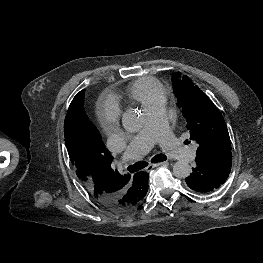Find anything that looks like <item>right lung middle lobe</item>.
Here are the masks:
<instances>
[{
  "label": "right lung middle lobe",
  "instance_id": "1",
  "mask_svg": "<svg viewBox=\"0 0 263 263\" xmlns=\"http://www.w3.org/2000/svg\"><path fill=\"white\" fill-rule=\"evenodd\" d=\"M83 103H84V90L80 92V99L76 104V108L74 110L73 118H72V122H74L79 126L89 124V120L83 108Z\"/></svg>",
  "mask_w": 263,
  "mask_h": 263
}]
</instances>
